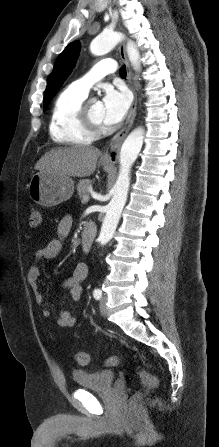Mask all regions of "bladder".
Wrapping results in <instances>:
<instances>
[{
  "label": "bladder",
  "mask_w": 219,
  "mask_h": 447,
  "mask_svg": "<svg viewBox=\"0 0 219 447\" xmlns=\"http://www.w3.org/2000/svg\"><path fill=\"white\" fill-rule=\"evenodd\" d=\"M71 375L79 388L89 391L109 390L114 386L117 377V374L111 370H73Z\"/></svg>",
  "instance_id": "1"
}]
</instances>
